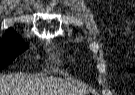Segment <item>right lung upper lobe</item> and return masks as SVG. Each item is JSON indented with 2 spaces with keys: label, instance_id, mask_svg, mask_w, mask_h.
Listing matches in <instances>:
<instances>
[{
  "label": "right lung upper lobe",
  "instance_id": "cb5924a9",
  "mask_svg": "<svg viewBox=\"0 0 135 95\" xmlns=\"http://www.w3.org/2000/svg\"><path fill=\"white\" fill-rule=\"evenodd\" d=\"M12 34H16V33H14L11 30H9V31L6 32V35L5 36H9V35H12Z\"/></svg>",
  "mask_w": 135,
  "mask_h": 95
}]
</instances>
